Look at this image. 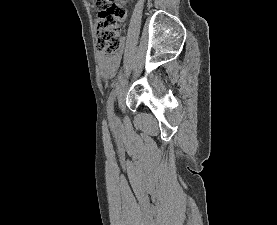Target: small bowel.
<instances>
[{
    "mask_svg": "<svg viewBox=\"0 0 277 225\" xmlns=\"http://www.w3.org/2000/svg\"><path fill=\"white\" fill-rule=\"evenodd\" d=\"M122 58V53L119 52L117 54L107 56V55H99L98 65L100 75L104 79H109L114 76Z\"/></svg>",
    "mask_w": 277,
    "mask_h": 225,
    "instance_id": "c3829d8e",
    "label": "small bowel"
}]
</instances>
